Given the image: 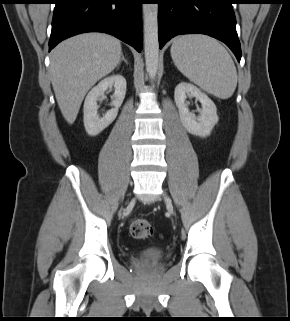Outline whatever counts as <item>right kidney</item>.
<instances>
[{
	"instance_id": "ca27d5eb",
	"label": "right kidney",
	"mask_w": 290,
	"mask_h": 321,
	"mask_svg": "<svg viewBox=\"0 0 290 321\" xmlns=\"http://www.w3.org/2000/svg\"><path fill=\"white\" fill-rule=\"evenodd\" d=\"M114 88L112 105L114 108L107 111L103 117L98 114L97 100L109 89ZM126 94V79L120 75H111L101 80L93 87L86 96L83 109V122L86 132L95 136L108 127L117 117L118 109L121 106Z\"/></svg>"
}]
</instances>
